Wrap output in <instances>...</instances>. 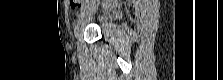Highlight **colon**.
<instances>
[{"mask_svg":"<svg viewBox=\"0 0 223 80\" xmlns=\"http://www.w3.org/2000/svg\"><path fill=\"white\" fill-rule=\"evenodd\" d=\"M69 3L72 9H77L83 5L84 0H70Z\"/></svg>","mask_w":223,"mask_h":80,"instance_id":"1","label":"colon"}]
</instances>
